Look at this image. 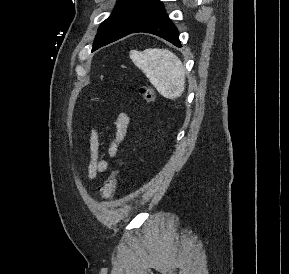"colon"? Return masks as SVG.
Segmentation results:
<instances>
[{
    "label": "colon",
    "instance_id": "5ec220e1",
    "mask_svg": "<svg viewBox=\"0 0 289 274\" xmlns=\"http://www.w3.org/2000/svg\"><path fill=\"white\" fill-rule=\"evenodd\" d=\"M139 93L143 97L147 105L151 106L155 102V92L147 85L139 87ZM125 161L123 158L118 159L116 166L110 171L108 177L105 180L104 185L100 189V195L104 200L110 199L117 187V181L119 176V169L125 166Z\"/></svg>",
    "mask_w": 289,
    "mask_h": 274
}]
</instances>
